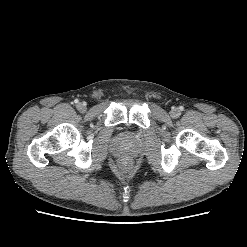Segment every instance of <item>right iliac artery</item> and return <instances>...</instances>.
Masks as SVG:
<instances>
[{
    "instance_id": "1",
    "label": "right iliac artery",
    "mask_w": 247,
    "mask_h": 247,
    "mask_svg": "<svg viewBox=\"0 0 247 247\" xmlns=\"http://www.w3.org/2000/svg\"><path fill=\"white\" fill-rule=\"evenodd\" d=\"M74 102H75V103H78L79 101L76 99Z\"/></svg>"
}]
</instances>
